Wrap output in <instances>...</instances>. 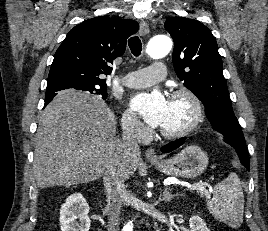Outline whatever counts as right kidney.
I'll return each instance as SVG.
<instances>
[{"mask_svg": "<svg viewBox=\"0 0 268 231\" xmlns=\"http://www.w3.org/2000/svg\"><path fill=\"white\" fill-rule=\"evenodd\" d=\"M88 213L89 205L82 194H72L60 209L61 231H89L91 221Z\"/></svg>", "mask_w": 268, "mask_h": 231, "instance_id": "obj_1", "label": "right kidney"}]
</instances>
